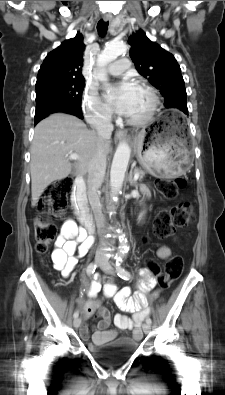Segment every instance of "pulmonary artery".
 <instances>
[{"mask_svg": "<svg viewBox=\"0 0 225 395\" xmlns=\"http://www.w3.org/2000/svg\"><path fill=\"white\" fill-rule=\"evenodd\" d=\"M130 66V61L127 58H120L119 60L112 63L107 68V73L113 76L123 74Z\"/></svg>", "mask_w": 225, "mask_h": 395, "instance_id": "1", "label": "pulmonary artery"}]
</instances>
